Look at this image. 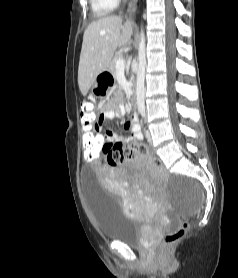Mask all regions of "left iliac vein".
<instances>
[{
    "mask_svg": "<svg viewBox=\"0 0 238 278\" xmlns=\"http://www.w3.org/2000/svg\"><path fill=\"white\" fill-rule=\"evenodd\" d=\"M145 135H146V138H147L148 142L152 143V136H151V133L148 129L145 131Z\"/></svg>",
    "mask_w": 238,
    "mask_h": 278,
    "instance_id": "1",
    "label": "left iliac vein"
}]
</instances>
